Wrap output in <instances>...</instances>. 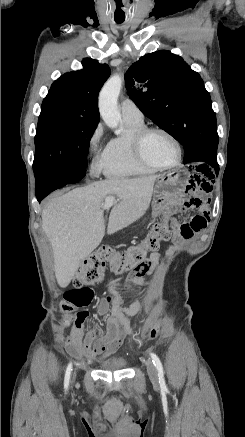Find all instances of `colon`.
<instances>
[{
    "label": "colon",
    "instance_id": "colon-1",
    "mask_svg": "<svg viewBox=\"0 0 245 437\" xmlns=\"http://www.w3.org/2000/svg\"><path fill=\"white\" fill-rule=\"evenodd\" d=\"M172 213L169 210L162 212L161 220L158 221L142 242L141 245L131 247L125 252L117 251L111 247H101L91 254L81 265L74 278V288L65 293L66 303L63 310L67 313L76 308H83L90 304L93 291L90 286L100 283L106 271L113 275L134 273L146 268V251H155L161 242L168 241L172 232L169 227ZM88 316L85 310H79L74 316L76 326L74 336L80 334L77 324L84 322ZM159 332V325H152L147 333V339H154Z\"/></svg>",
    "mask_w": 245,
    "mask_h": 437
}]
</instances>
